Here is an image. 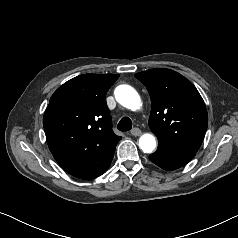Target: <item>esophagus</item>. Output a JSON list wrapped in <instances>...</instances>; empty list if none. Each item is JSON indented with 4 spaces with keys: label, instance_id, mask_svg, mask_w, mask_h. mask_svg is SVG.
Wrapping results in <instances>:
<instances>
[{
    "label": "esophagus",
    "instance_id": "34e87169",
    "mask_svg": "<svg viewBox=\"0 0 238 238\" xmlns=\"http://www.w3.org/2000/svg\"><path fill=\"white\" fill-rule=\"evenodd\" d=\"M131 135L133 136H139L141 134V130L139 128H133L131 131H130Z\"/></svg>",
    "mask_w": 238,
    "mask_h": 238
}]
</instances>
